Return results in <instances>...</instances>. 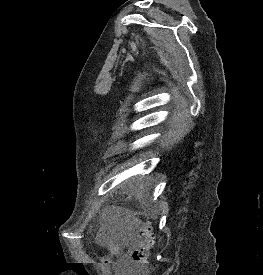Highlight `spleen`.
Wrapping results in <instances>:
<instances>
[{"mask_svg":"<svg viewBox=\"0 0 263 275\" xmlns=\"http://www.w3.org/2000/svg\"><path fill=\"white\" fill-rule=\"evenodd\" d=\"M130 189L138 200L144 203L147 202L149 184L146 177L132 179L130 182Z\"/></svg>","mask_w":263,"mask_h":275,"instance_id":"spleen-1","label":"spleen"}]
</instances>
